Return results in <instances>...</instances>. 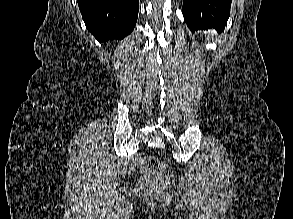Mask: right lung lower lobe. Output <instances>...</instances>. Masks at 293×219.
<instances>
[{"instance_id": "98d812e1", "label": "right lung lower lobe", "mask_w": 293, "mask_h": 219, "mask_svg": "<svg viewBox=\"0 0 293 219\" xmlns=\"http://www.w3.org/2000/svg\"><path fill=\"white\" fill-rule=\"evenodd\" d=\"M87 29L102 42L122 40L136 24L139 0H77Z\"/></svg>"}]
</instances>
